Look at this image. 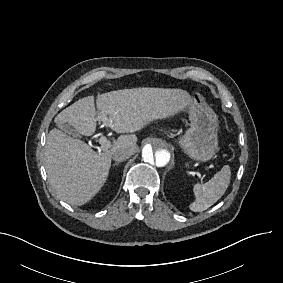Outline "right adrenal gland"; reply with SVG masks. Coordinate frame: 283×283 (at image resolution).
Listing matches in <instances>:
<instances>
[{
  "label": "right adrenal gland",
  "instance_id": "right-adrenal-gland-1",
  "mask_svg": "<svg viewBox=\"0 0 283 283\" xmlns=\"http://www.w3.org/2000/svg\"><path fill=\"white\" fill-rule=\"evenodd\" d=\"M118 164H119V163H118V162H116V163H114V164H113V166H116V165H118Z\"/></svg>",
  "mask_w": 283,
  "mask_h": 283
}]
</instances>
